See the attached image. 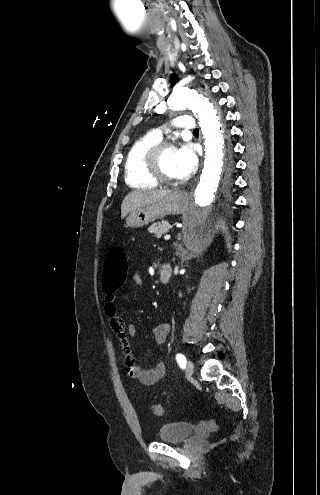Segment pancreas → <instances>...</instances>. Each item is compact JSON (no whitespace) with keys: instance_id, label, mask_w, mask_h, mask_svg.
Segmentation results:
<instances>
[{"instance_id":"1","label":"pancreas","mask_w":320,"mask_h":495,"mask_svg":"<svg viewBox=\"0 0 320 495\" xmlns=\"http://www.w3.org/2000/svg\"><path fill=\"white\" fill-rule=\"evenodd\" d=\"M171 229V225L166 221L162 220L158 223H153L149 228V232L154 234L155 237H161L165 235Z\"/></svg>"}]
</instances>
